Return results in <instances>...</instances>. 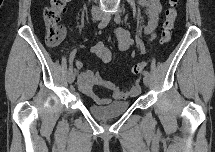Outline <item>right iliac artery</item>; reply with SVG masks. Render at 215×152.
<instances>
[{
    "instance_id": "82829eb1",
    "label": "right iliac artery",
    "mask_w": 215,
    "mask_h": 152,
    "mask_svg": "<svg viewBox=\"0 0 215 152\" xmlns=\"http://www.w3.org/2000/svg\"><path fill=\"white\" fill-rule=\"evenodd\" d=\"M109 21H110V18H104V19L98 24V28H99V29H102V28L106 27V26L108 25ZM71 55L74 56V55H75V52H73ZM72 70H73V67H72V59H70V60H69V69H68V71H69V72H72Z\"/></svg>"
}]
</instances>
